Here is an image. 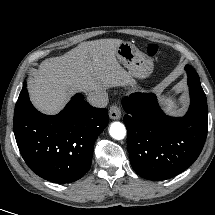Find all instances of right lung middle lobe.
<instances>
[{"instance_id": "right-lung-middle-lobe-1", "label": "right lung middle lobe", "mask_w": 215, "mask_h": 215, "mask_svg": "<svg viewBox=\"0 0 215 215\" xmlns=\"http://www.w3.org/2000/svg\"><path fill=\"white\" fill-rule=\"evenodd\" d=\"M26 102L22 99H18L16 106H15V112H14V121L24 112L26 109Z\"/></svg>"}]
</instances>
